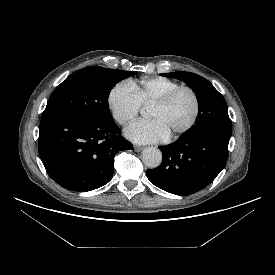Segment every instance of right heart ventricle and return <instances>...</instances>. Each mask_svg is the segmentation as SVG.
<instances>
[{"instance_id": "right-heart-ventricle-1", "label": "right heart ventricle", "mask_w": 275, "mask_h": 275, "mask_svg": "<svg viewBox=\"0 0 275 275\" xmlns=\"http://www.w3.org/2000/svg\"><path fill=\"white\" fill-rule=\"evenodd\" d=\"M180 84L167 77H146L136 85V90L142 105L154 104L172 89Z\"/></svg>"}]
</instances>
